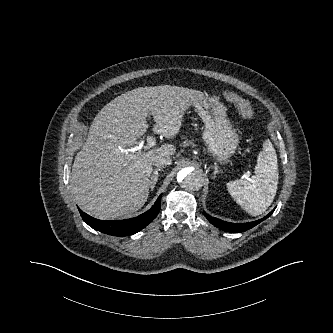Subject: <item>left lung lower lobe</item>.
I'll use <instances>...</instances> for the list:
<instances>
[{
  "label": "left lung lower lobe",
  "mask_w": 333,
  "mask_h": 333,
  "mask_svg": "<svg viewBox=\"0 0 333 333\" xmlns=\"http://www.w3.org/2000/svg\"><path fill=\"white\" fill-rule=\"evenodd\" d=\"M273 211H271L267 216H265L264 218H262L260 220H257L254 222H248V223H230V222H225V221L219 220L217 218H214L212 216H209L206 213H204V215L213 225H215L219 229H221L223 231H227V232L239 233V232L249 230L250 228H252V227L256 226L257 224H259L260 222H262L263 220L267 219L273 213Z\"/></svg>",
  "instance_id": "left-lung-lower-lobe-1"
}]
</instances>
